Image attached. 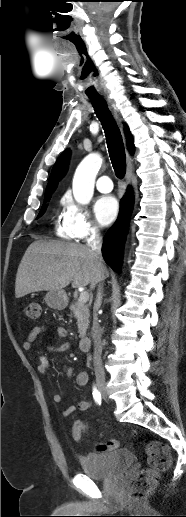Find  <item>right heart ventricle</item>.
<instances>
[{
    "label": "right heart ventricle",
    "instance_id": "right-heart-ventricle-1",
    "mask_svg": "<svg viewBox=\"0 0 186 517\" xmlns=\"http://www.w3.org/2000/svg\"><path fill=\"white\" fill-rule=\"evenodd\" d=\"M56 234L65 239L73 238L69 232L67 231L65 225L63 223L56 225Z\"/></svg>",
    "mask_w": 186,
    "mask_h": 517
}]
</instances>
